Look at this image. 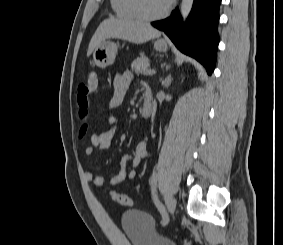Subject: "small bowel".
Wrapping results in <instances>:
<instances>
[{
	"mask_svg": "<svg viewBox=\"0 0 283 245\" xmlns=\"http://www.w3.org/2000/svg\"><path fill=\"white\" fill-rule=\"evenodd\" d=\"M131 79L132 74L128 71L116 75L113 82V94L109 101L110 110H114L122 103ZM116 130L117 125L115 118L111 116L107 127L103 131L90 136V145L85 150L86 156L94 155L96 149L101 152L107 151L111 147ZM148 156L147 137H145L138 143L134 151L122 157L121 170L116 175L108 178L103 175H96L87 170L84 172V176L86 180L98 187L106 183L117 185L125 180H133L136 177L137 168L141 161ZM129 163L131 164L130 168H128Z\"/></svg>",
	"mask_w": 283,
	"mask_h": 245,
	"instance_id": "obj_1",
	"label": "small bowel"
}]
</instances>
